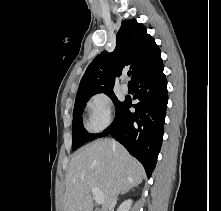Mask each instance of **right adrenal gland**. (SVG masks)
<instances>
[{"mask_svg": "<svg viewBox=\"0 0 221 211\" xmlns=\"http://www.w3.org/2000/svg\"><path fill=\"white\" fill-rule=\"evenodd\" d=\"M126 192H128V190H125V191L121 192V195L125 194Z\"/></svg>", "mask_w": 221, "mask_h": 211, "instance_id": "obj_1", "label": "right adrenal gland"}]
</instances>
